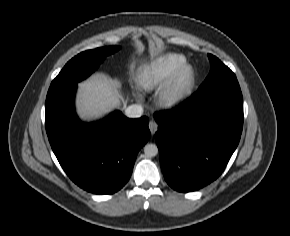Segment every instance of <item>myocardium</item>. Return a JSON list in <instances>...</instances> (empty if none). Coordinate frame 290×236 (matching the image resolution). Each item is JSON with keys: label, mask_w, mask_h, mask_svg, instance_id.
I'll return each instance as SVG.
<instances>
[{"label": "myocardium", "mask_w": 290, "mask_h": 236, "mask_svg": "<svg viewBox=\"0 0 290 236\" xmlns=\"http://www.w3.org/2000/svg\"><path fill=\"white\" fill-rule=\"evenodd\" d=\"M195 84V69L192 65L184 63L158 92L157 102L164 108H175L188 99Z\"/></svg>", "instance_id": "1"}]
</instances>
